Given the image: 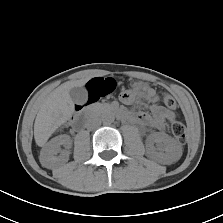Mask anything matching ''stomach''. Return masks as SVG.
<instances>
[{"label":"stomach","instance_id":"0dacf381","mask_svg":"<svg viewBox=\"0 0 223 223\" xmlns=\"http://www.w3.org/2000/svg\"><path fill=\"white\" fill-rule=\"evenodd\" d=\"M144 84L142 82H134L133 88H143Z\"/></svg>","mask_w":223,"mask_h":223}]
</instances>
